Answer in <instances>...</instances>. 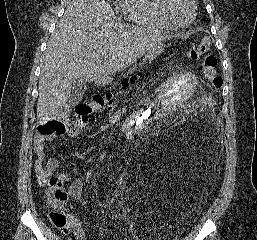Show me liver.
<instances>
[{"label":"liver","mask_w":257,"mask_h":240,"mask_svg":"<svg viewBox=\"0 0 257 240\" xmlns=\"http://www.w3.org/2000/svg\"><path fill=\"white\" fill-rule=\"evenodd\" d=\"M166 37L115 20L104 0H73L51 35L41 64L37 118L50 120L75 79L90 82L132 64Z\"/></svg>","instance_id":"6515ba94"}]
</instances>
